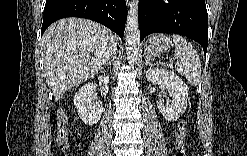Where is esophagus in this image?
<instances>
[{"label": "esophagus", "mask_w": 247, "mask_h": 156, "mask_svg": "<svg viewBox=\"0 0 247 156\" xmlns=\"http://www.w3.org/2000/svg\"><path fill=\"white\" fill-rule=\"evenodd\" d=\"M127 5L130 6V1L129 0H127Z\"/></svg>", "instance_id": "34e87169"}]
</instances>
